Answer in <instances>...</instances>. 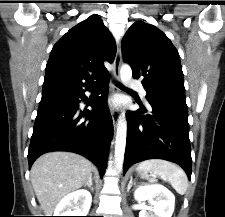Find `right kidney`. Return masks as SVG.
I'll return each instance as SVG.
<instances>
[{
    "instance_id": "obj_1",
    "label": "right kidney",
    "mask_w": 225,
    "mask_h": 217,
    "mask_svg": "<svg viewBox=\"0 0 225 217\" xmlns=\"http://www.w3.org/2000/svg\"><path fill=\"white\" fill-rule=\"evenodd\" d=\"M92 203V196L81 189L65 196L57 205L54 216H87Z\"/></svg>"
}]
</instances>
